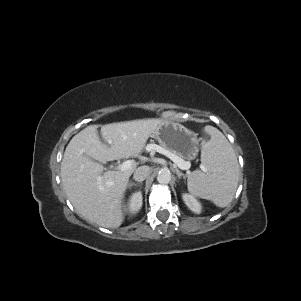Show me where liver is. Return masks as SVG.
Here are the masks:
<instances>
[{"label":"liver","instance_id":"obj_1","mask_svg":"<svg viewBox=\"0 0 301 301\" xmlns=\"http://www.w3.org/2000/svg\"><path fill=\"white\" fill-rule=\"evenodd\" d=\"M162 119H140L106 124L98 136L96 126L76 134L61 162L64 191L85 219L105 228H117L124 221V193L136 164L125 171H104L103 163L139 156ZM98 162H96V161Z\"/></svg>","mask_w":301,"mask_h":301}]
</instances>
